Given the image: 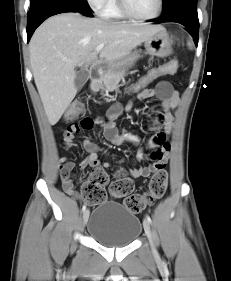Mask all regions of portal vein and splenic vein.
<instances>
[{
  "instance_id": "1",
  "label": "portal vein and splenic vein",
  "mask_w": 231,
  "mask_h": 281,
  "mask_svg": "<svg viewBox=\"0 0 231 281\" xmlns=\"http://www.w3.org/2000/svg\"><path fill=\"white\" fill-rule=\"evenodd\" d=\"M105 44H100L96 47L95 52L99 53L103 48H104Z\"/></svg>"
}]
</instances>
